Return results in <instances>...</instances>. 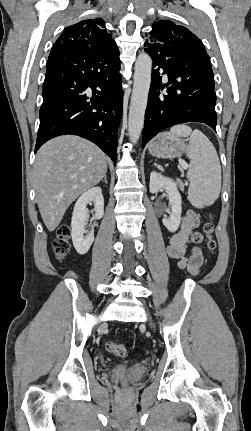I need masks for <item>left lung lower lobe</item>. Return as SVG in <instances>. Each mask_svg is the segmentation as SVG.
<instances>
[{"instance_id": "1", "label": "left lung lower lobe", "mask_w": 251, "mask_h": 431, "mask_svg": "<svg viewBox=\"0 0 251 431\" xmlns=\"http://www.w3.org/2000/svg\"><path fill=\"white\" fill-rule=\"evenodd\" d=\"M153 61L145 112L142 148L156 134L185 122H201L216 131V94L210 59L184 47H169L148 38L144 43ZM160 74L168 75L162 84ZM167 88L166 94L160 91Z\"/></svg>"}]
</instances>
